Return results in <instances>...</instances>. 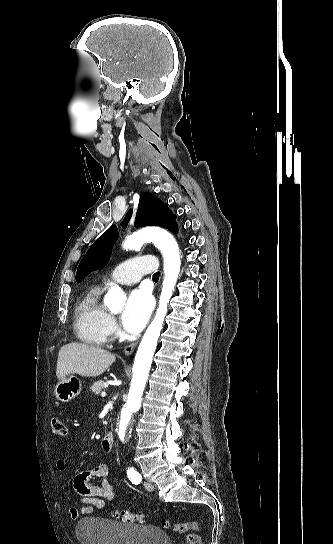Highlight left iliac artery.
I'll return each mask as SVG.
<instances>
[{"mask_svg":"<svg viewBox=\"0 0 333 544\" xmlns=\"http://www.w3.org/2000/svg\"><path fill=\"white\" fill-rule=\"evenodd\" d=\"M127 476L133 484L138 485L141 483V475L133 467H128Z\"/></svg>","mask_w":333,"mask_h":544,"instance_id":"44dca946","label":"left iliac artery"}]
</instances>
